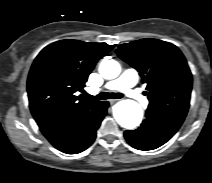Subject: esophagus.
I'll list each match as a JSON object with an SVG mask.
<instances>
[{
  "mask_svg": "<svg viewBox=\"0 0 212 183\" xmlns=\"http://www.w3.org/2000/svg\"><path fill=\"white\" fill-rule=\"evenodd\" d=\"M119 99H110L109 102L110 104H114L115 102H117Z\"/></svg>",
  "mask_w": 212,
  "mask_h": 183,
  "instance_id": "obj_1",
  "label": "esophagus"
}]
</instances>
